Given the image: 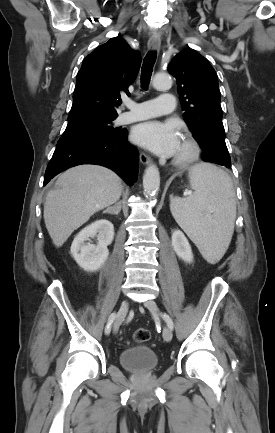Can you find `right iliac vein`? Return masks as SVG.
<instances>
[{
  "mask_svg": "<svg viewBox=\"0 0 275 433\" xmlns=\"http://www.w3.org/2000/svg\"><path fill=\"white\" fill-rule=\"evenodd\" d=\"M127 312H128V302L123 301L119 310H118L116 319L114 321V325H113V332L114 333L118 332L120 325L122 324L124 318L127 315Z\"/></svg>",
  "mask_w": 275,
  "mask_h": 433,
  "instance_id": "1",
  "label": "right iliac vein"
}]
</instances>
